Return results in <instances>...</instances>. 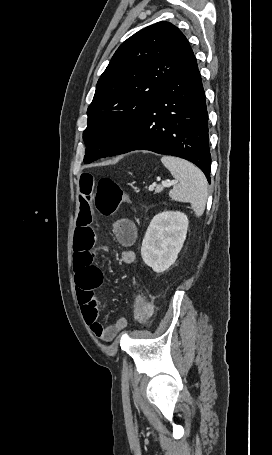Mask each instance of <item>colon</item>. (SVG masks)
Returning <instances> with one entry per match:
<instances>
[{"label": "colon", "instance_id": "obj_1", "mask_svg": "<svg viewBox=\"0 0 272 455\" xmlns=\"http://www.w3.org/2000/svg\"><path fill=\"white\" fill-rule=\"evenodd\" d=\"M129 199L125 196L121 187L111 178L102 177L96 183L95 207L103 216H112L118 207ZM135 318L145 324L153 314V306L141 290L135 299Z\"/></svg>", "mask_w": 272, "mask_h": 455}]
</instances>
